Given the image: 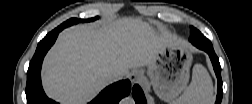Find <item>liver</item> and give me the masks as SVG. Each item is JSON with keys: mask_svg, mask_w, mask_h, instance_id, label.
I'll use <instances>...</instances> for the list:
<instances>
[{"mask_svg": "<svg viewBox=\"0 0 252 104\" xmlns=\"http://www.w3.org/2000/svg\"><path fill=\"white\" fill-rule=\"evenodd\" d=\"M178 42L139 18L81 24L62 31L45 57L42 82L47 95L62 103H86L111 80L105 74L151 63L163 45Z\"/></svg>", "mask_w": 252, "mask_h": 104, "instance_id": "obj_1", "label": "liver"}]
</instances>
